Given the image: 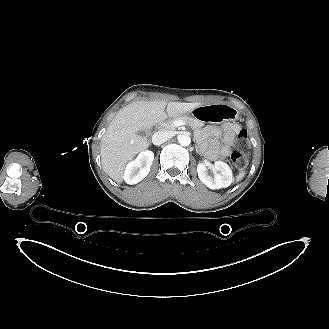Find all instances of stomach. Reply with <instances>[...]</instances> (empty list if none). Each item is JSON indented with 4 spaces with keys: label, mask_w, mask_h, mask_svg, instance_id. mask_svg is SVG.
<instances>
[{
    "label": "stomach",
    "mask_w": 329,
    "mask_h": 329,
    "mask_svg": "<svg viewBox=\"0 0 329 329\" xmlns=\"http://www.w3.org/2000/svg\"><path fill=\"white\" fill-rule=\"evenodd\" d=\"M191 115L203 123L235 121L238 118L236 109L223 103L201 105L191 111Z\"/></svg>",
    "instance_id": "1"
}]
</instances>
